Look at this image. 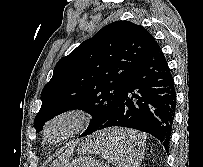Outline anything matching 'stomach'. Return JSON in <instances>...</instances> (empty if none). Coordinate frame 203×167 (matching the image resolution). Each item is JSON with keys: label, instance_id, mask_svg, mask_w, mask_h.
Listing matches in <instances>:
<instances>
[{"label": "stomach", "instance_id": "obj_1", "mask_svg": "<svg viewBox=\"0 0 203 167\" xmlns=\"http://www.w3.org/2000/svg\"><path fill=\"white\" fill-rule=\"evenodd\" d=\"M116 129H109V130H105L103 132H101L100 134L96 135V138H94V140H99L101 141H107L110 139H103V137H106L110 132L114 131ZM82 150L84 151L85 149L82 148ZM135 150H136V154L138 157H140V151L138 146H135ZM91 149H86L85 152H90ZM67 167H105L103 166L99 161L91 158V157H80L76 160H74L73 162H71L70 164H68Z\"/></svg>", "mask_w": 203, "mask_h": 167}]
</instances>
